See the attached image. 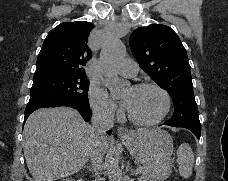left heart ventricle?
I'll list each match as a JSON object with an SVG mask.
<instances>
[{
  "instance_id": "obj_1",
  "label": "left heart ventricle",
  "mask_w": 228,
  "mask_h": 181,
  "mask_svg": "<svg viewBox=\"0 0 228 181\" xmlns=\"http://www.w3.org/2000/svg\"><path fill=\"white\" fill-rule=\"evenodd\" d=\"M127 79V77L118 76ZM131 113L142 120H148L155 117L162 107V97L153 88L145 87L132 89L129 86L123 90V93Z\"/></svg>"
}]
</instances>
